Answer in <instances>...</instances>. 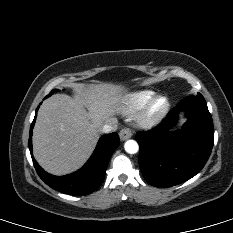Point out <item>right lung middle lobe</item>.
Wrapping results in <instances>:
<instances>
[{"instance_id":"dd1d6c3e","label":"right lung middle lobe","mask_w":233,"mask_h":233,"mask_svg":"<svg viewBox=\"0 0 233 233\" xmlns=\"http://www.w3.org/2000/svg\"><path fill=\"white\" fill-rule=\"evenodd\" d=\"M56 91H58L57 89H54V90H52L51 92H50V94L49 95H47L46 97H49L50 95H52L54 92H56Z\"/></svg>"}]
</instances>
